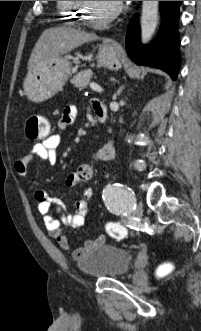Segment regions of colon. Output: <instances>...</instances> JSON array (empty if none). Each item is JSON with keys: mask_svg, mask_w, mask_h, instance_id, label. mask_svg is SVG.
I'll list each match as a JSON object with an SVG mask.
<instances>
[{"mask_svg": "<svg viewBox=\"0 0 201 331\" xmlns=\"http://www.w3.org/2000/svg\"><path fill=\"white\" fill-rule=\"evenodd\" d=\"M50 127L44 116L38 113H31L26 119V136L31 141H43L49 137ZM107 233L116 239H121L126 236V229L114 222H110L106 226ZM101 240L103 238L100 237ZM174 271L171 263H164L159 266L157 274L159 277H167Z\"/></svg>", "mask_w": 201, "mask_h": 331, "instance_id": "obj_1", "label": "colon"}]
</instances>
